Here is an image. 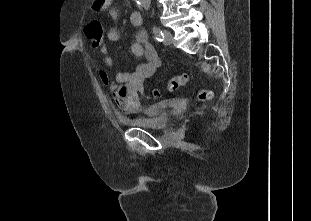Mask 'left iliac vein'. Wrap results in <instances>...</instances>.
<instances>
[{
	"instance_id": "obj_1",
	"label": "left iliac vein",
	"mask_w": 311,
	"mask_h": 221,
	"mask_svg": "<svg viewBox=\"0 0 311 221\" xmlns=\"http://www.w3.org/2000/svg\"><path fill=\"white\" fill-rule=\"evenodd\" d=\"M164 38H163V42L165 45H170L172 44L173 41V36L172 33L169 30H164Z\"/></svg>"
}]
</instances>
